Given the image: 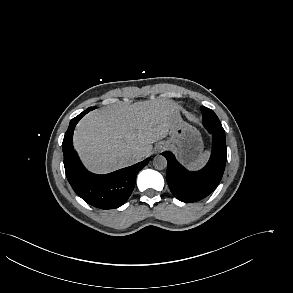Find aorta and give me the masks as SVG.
I'll return each mask as SVG.
<instances>
[{"mask_svg": "<svg viewBox=\"0 0 293 293\" xmlns=\"http://www.w3.org/2000/svg\"><path fill=\"white\" fill-rule=\"evenodd\" d=\"M153 166L158 169L162 170L167 167V160L164 156L158 155L153 159Z\"/></svg>", "mask_w": 293, "mask_h": 293, "instance_id": "762f6f07", "label": "aorta"}]
</instances>
